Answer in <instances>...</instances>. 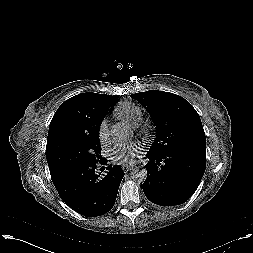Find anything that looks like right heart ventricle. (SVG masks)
<instances>
[{
    "mask_svg": "<svg viewBox=\"0 0 253 253\" xmlns=\"http://www.w3.org/2000/svg\"><path fill=\"white\" fill-rule=\"evenodd\" d=\"M115 115L132 126H137L143 119L142 109L129 101L119 103Z\"/></svg>",
    "mask_w": 253,
    "mask_h": 253,
    "instance_id": "obj_1",
    "label": "right heart ventricle"
}]
</instances>
